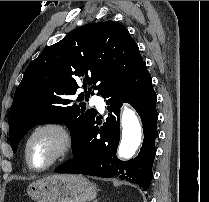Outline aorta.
Listing matches in <instances>:
<instances>
[{
    "mask_svg": "<svg viewBox=\"0 0 209 202\" xmlns=\"http://www.w3.org/2000/svg\"><path fill=\"white\" fill-rule=\"evenodd\" d=\"M122 136L118 148L121 159H130L137 151L142 140L140 122L131 108L124 107L121 114Z\"/></svg>",
    "mask_w": 209,
    "mask_h": 202,
    "instance_id": "1",
    "label": "aorta"
}]
</instances>
